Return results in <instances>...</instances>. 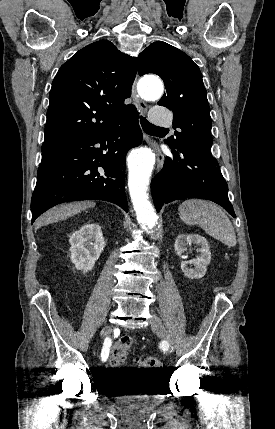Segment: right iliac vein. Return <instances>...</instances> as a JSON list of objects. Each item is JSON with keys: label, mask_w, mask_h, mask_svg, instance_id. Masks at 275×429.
Wrapping results in <instances>:
<instances>
[{"label": "right iliac vein", "mask_w": 275, "mask_h": 429, "mask_svg": "<svg viewBox=\"0 0 275 429\" xmlns=\"http://www.w3.org/2000/svg\"><path fill=\"white\" fill-rule=\"evenodd\" d=\"M112 332V328L110 326H105L101 331V337H107Z\"/></svg>", "instance_id": "obj_1"}]
</instances>
